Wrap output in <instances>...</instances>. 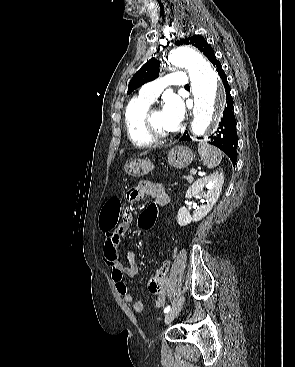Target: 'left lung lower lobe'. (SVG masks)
I'll return each instance as SVG.
<instances>
[{"instance_id":"1","label":"left lung lower lobe","mask_w":295,"mask_h":367,"mask_svg":"<svg viewBox=\"0 0 295 367\" xmlns=\"http://www.w3.org/2000/svg\"><path fill=\"white\" fill-rule=\"evenodd\" d=\"M216 68L224 86L226 94V104L223 111V117L219 124L218 130L209 136V143L220 148L231 159L233 165L237 161V132L236 120L233 111V101L230 94V87L228 86L227 76L222 69L221 63L215 58L211 61ZM190 140L188 132L180 138V141Z\"/></svg>"}]
</instances>
